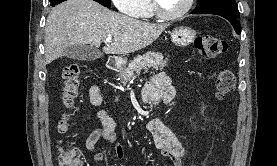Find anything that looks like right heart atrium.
Returning a JSON list of instances; mask_svg holds the SVG:
<instances>
[{
  "label": "right heart atrium",
  "mask_w": 277,
  "mask_h": 166,
  "mask_svg": "<svg viewBox=\"0 0 277 166\" xmlns=\"http://www.w3.org/2000/svg\"><path fill=\"white\" fill-rule=\"evenodd\" d=\"M114 6L122 13L136 16L142 9L145 0H111Z\"/></svg>",
  "instance_id": "1"
}]
</instances>
